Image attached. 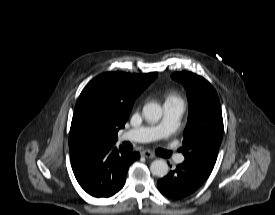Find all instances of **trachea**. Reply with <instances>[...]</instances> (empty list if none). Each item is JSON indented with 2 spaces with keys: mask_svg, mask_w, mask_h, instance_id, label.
Wrapping results in <instances>:
<instances>
[{
  "mask_svg": "<svg viewBox=\"0 0 275 215\" xmlns=\"http://www.w3.org/2000/svg\"><path fill=\"white\" fill-rule=\"evenodd\" d=\"M158 154L164 158H168L170 157V152L166 151V150H159Z\"/></svg>",
  "mask_w": 275,
  "mask_h": 215,
  "instance_id": "obj_1",
  "label": "trachea"
}]
</instances>
